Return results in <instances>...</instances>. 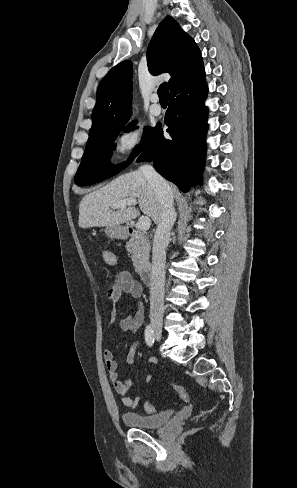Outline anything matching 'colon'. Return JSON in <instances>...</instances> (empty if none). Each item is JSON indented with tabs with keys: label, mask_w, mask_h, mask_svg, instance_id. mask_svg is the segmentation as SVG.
I'll return each instance as SVG.
<instances>
[{
	"label": "colon",
	"mask_w": 297,
	"mask_h": 488,
	"mask_svg": "<svg viewBox=\"0 0 297 488\" xmlns=\"http://www.w3.org/2000/svg\"><path fill=\"white\" fill-rule=\"evenodd\" d=\"M104 252V251H103ZM103 252L100 253L101 259L104 258ZM114 282L110 281L109 286H108V292L109 295L114 291ZM170 386L176 391L179 395V397L184 401V402H189L190 400V395L188 391L180 384H177L175 382H169ZM144 409L148 413H155L156 408L154 407L153 404H151L149 401L145 402L144 404Z\"/></svg>",
	"instance_id": "colon-1"
}]
</instances>
